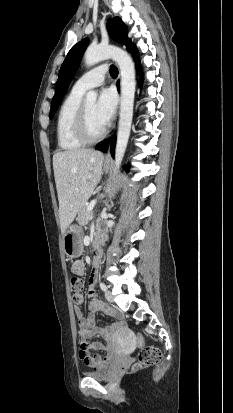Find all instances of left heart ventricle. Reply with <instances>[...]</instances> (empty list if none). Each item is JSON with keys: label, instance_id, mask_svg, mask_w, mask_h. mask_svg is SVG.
Returning <instances> with one entry per match:
<instances>
[{"label": "left heart ventricle", "instance_id": "obj_1", "mask_svg": "<svg viewBox=\"0 0 233 413\" xmlns=\"http://www.w3.org/2000/svg\"><path fill=\"white\" fill-rule=\"evenodd\" d=\"M88 116L89 130L92 135L99 134L105 127L96 115V103L88 102L85 104Z\"/></svg>", "mask_w": 233, "mask_h": 413}]
</instances>
